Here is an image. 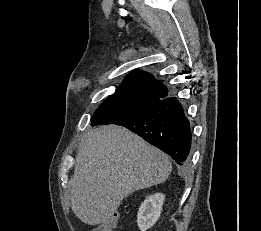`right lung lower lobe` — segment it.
I'll list each match as a JSON object with an SVG mask.
<instances>
[{
  "label": "right lung lower lobe",
  "mask_w": 261,
  "mask_h": 231,
  "mask_svg": "<svg viewBox=\"0 0 261 231\" xmlns=\"http://www.w3.org/2000/svg\"><path fill=\"white\" fill-rule=\"evenodd\" d=\"M141 136L186 166L191 148L190 123L175 97L161 100L149 109L115 123Z\"/></svg>",
  "instance_id": "1"
}]
</instances>
